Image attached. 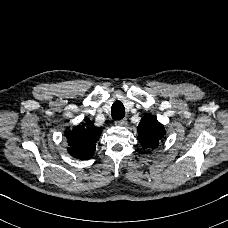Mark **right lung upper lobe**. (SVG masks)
Listing matches in <instances>:
<instances>
[{
	"label": "right lung upper lobe",
	"mask_w": 228,
	"mask_h": 228,
	"mask_svg": "<svg viewBox=\"0 0 228 228\" xmlns=\"http://www.w3.org/2000/svg\"><path fill=\"white\" fill-rule=\"evenodd\" d=\"M102 129L96 127L91 120L67 129L65 136L68 140V152L75 158L87 160L95 153L96 142L101 136Z\"/></svg>",
	"instance_id": "1"
}]
</instances>
